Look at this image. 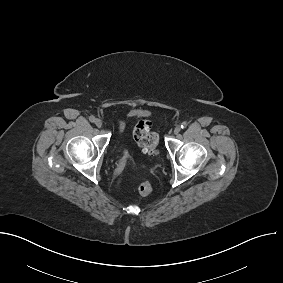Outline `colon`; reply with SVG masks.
I'll return each instance as SVG.
<instances>
[{"mask_svg":"<svg viewBox=\"0 0 283 283\" xmlns=\"http://www.w3.org/2000/svg\"><path fill=\"white\" fill-rule=\"evenodd\" d=\"M133 137L145 152H152L157 143L156 135L150 130V122L148 120L137 122L133 128ZM139 192L143 196L149 195L152 192L150 183L142 182L139 186Z\"/></svg>","mask_w":283,"mask_h":283,"instance_id":"1","label":"colon"}]
</instances>
